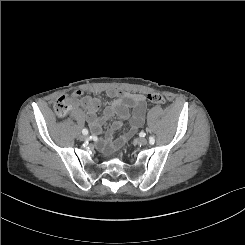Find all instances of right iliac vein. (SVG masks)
<instances>
[{
	"mask_svg": "<svg viewBox=\"0 0 245 245\" xmlns=\"http://www.w3.org/2000/svg\"><path fill=\"white\" fill-rule=\"evenodd\" d=\"M86 138H87V137H86L85 135H81V136H80V139H81V140H86Z\"/></svg>",
	"mask_w": 245,
	"mask_h": 245,
	"instance_id": "63e3f726",
	"label": "right iliac vein"
}]
</instances>
